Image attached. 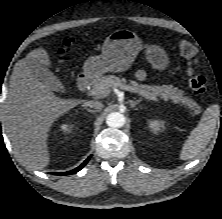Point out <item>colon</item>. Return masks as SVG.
<instances>
[{
  "instance_id": "obj_1",
  "label": "colon",
  "mask_w": 222,
  "mask_h": 219,
  "mask_svg": "<svg viewBox=\"0 0 222 219\" xmlns=\"http://www.w3.org/2000/svg\"><path fill=\"white\" fill-rule=\"evenodd\" d=\"M73 40L68 41L66 44L69 46ZM179 51L181 55L187 60V74L188 86L195 94H204L207 88L206 79L198 73L197 65V50L194 44L187 40H182L179 43Z\"/></svg>"
}]
</instances>
